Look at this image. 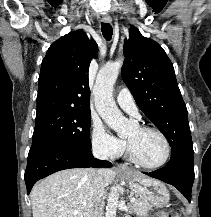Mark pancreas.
Here are the masks:
<instances>
[{
  "label": "pancreas",
  "mask_w": 211,
  "mask_h": 217,
  "mask_svg": "<svg viewBox=\"0 0 211 217\" xmlns=\"http://www.w3.org/2000/svg\"><path fill=\"white\" fill-rule=\"evenodd\" d=\"M134 213L146 217L148 212L153 210V206L145 199L139 198L130 205Z\"/></svg>",
  "instance_id": "obj_1"
}]
</instances>
